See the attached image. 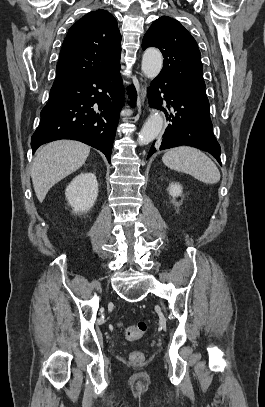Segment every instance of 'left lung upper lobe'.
Wrapping results in <instances>:
<instances>
[{
	"instance_id": "1",
	"label": "left lung upper lobe",
	"mask_w": 265,
	"mask_h": 407,
	"mask_svg": "<svg viewBox=\"0 0 265 407\" xmlns=\"http://www.w3.org/2000/svg\"><path fill=\"white\" fill-rule=\"evenodd\" d=\"M157 47L163 54L160 75L199 104L209 107L203 80L201 54L195 39L175 19L162 16L146 32L142 48Z\"/></svg>"
}]
</instances>
